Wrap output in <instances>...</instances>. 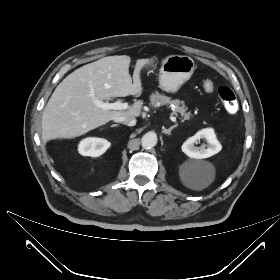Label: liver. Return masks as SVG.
I'll return each mask as SVG.
<instances>
[{
  "mask_svg": "<svg viewBox=\"0 0 280 280\" xmlns=\"http://www.w3.org/2000/svg\"><path fill=\"white\" fill-rule=\"evenodd\" d=\"M131 58L108 56L89 63L69 74L52 93L42 116V138H75L120 116L139 117L142 100L128 110H103L95 100L125 97L141 93V69L148 59L136 61L133 77L129 74ZM133 79V81H132Z\"/></svg>",
  "mask_w": 280,
  "mask_h": 280,
  "instance_id": "liver-1",
  "label": "liver"
}]
</instances>
